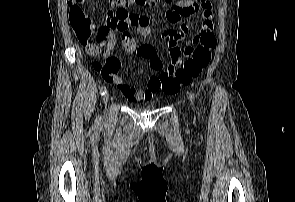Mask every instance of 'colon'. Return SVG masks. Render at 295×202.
Masks as SVG:
<instances>
[{
	"mask_svg": "<svg viewBox=\"0 0 295 202\" xmlns=\"http://www.w3.org/2000/svg\"><path fill=\"white\" fill-rule=\"evenodd\" d=\"M171 1V0H166ZM117 7L116 19L118 26L126 28L129 25H137L139 17L131 15L125 7L133 4L137 6H158L161 0H111ZM70 21L73 31L78 40L84 45L95 44L91 40L98 33L93 20L82 8L70 7ZM195 44L190 49L185 50L180 58L170 63L158 75L150 78L148 87L155 93L161 91L166 95L177 93L181 87L188 86L196 79L211 60V51L216 46V37L211 30L202 31L195 39ZM100 69V68H99Z\"/></svg>",
	"mask_w": 295,
	"mask_h": 202,
	"instance_id": "1",
	"label": "colon"
}]
</instances>
